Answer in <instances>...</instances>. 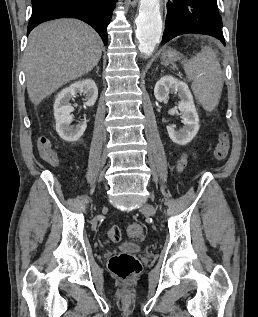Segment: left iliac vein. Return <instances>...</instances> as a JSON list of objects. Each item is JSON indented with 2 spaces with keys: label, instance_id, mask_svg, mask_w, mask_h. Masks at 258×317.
I'll return each instance as SVG.
<instances>
[{
  "label": "left iliac vein",
  "instance_id": "left-iliac-vein-1",
  "mask_svg": "<svg viewBox=\"0 0 258 317\" xmlns=\"http://www.w3.org/2000/svg\"><path fill=\"white\" fill-rule=\"evenodd\" d=\"M141 210L144 213L149 214V216H154L155 207H153V205H150V203H145V205H143V208Z\"/></svg>",
  "mask_w": 258,
  "mask_h": 317
}]
</instances>
